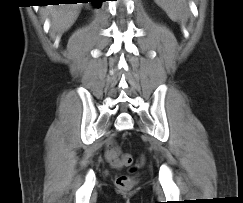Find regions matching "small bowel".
Instances as JSON below:
<instances>
[{"instance_id": "c3829d8e", "label": "small bowel", "mask_w": 243, "mask_h": 203, "mask_svg": "<svg viewBox=\"0 0 243 203\" xmlns=\"http://www.w3.org/2000/svg\"><path fill=\"white\" fill-rule=\"evenodd\" d=\"M113 150H115V149H113V148H109V149L106 151V158H107L108 162H109L112 166H114V167H121V165L115 163V162L112 160V156H111V154H112V151H113Z\"/></svg>"}]
</instances>
